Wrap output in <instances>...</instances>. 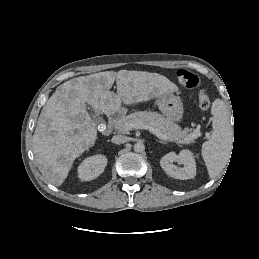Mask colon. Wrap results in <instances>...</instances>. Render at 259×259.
<instances>
[{
  "label": "colon",
  "mask_w": 259,
  "mask_h": 259,
  "mask_svg": "<svg viewBox=\"0 0 259 259\" xmlns=\"http://www.w3.org/2000/svg\"><path fill=\"white\" fill-rule=\"evenodd\" d=\"M177 79L181 86L187 89H197L198 104L202 111H207L210 107L211 101L206 91L200 88V80L194 73L185 69L177 71Z\"/></svg>",
  "instance_id": "5ec220e1"
}]
</instances>
